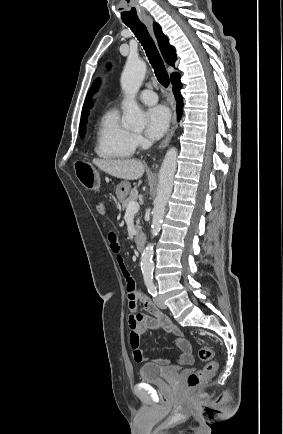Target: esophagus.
I'll list each match as a JSON object with an SVG mask.
<instances>
[{
    "instance_id": "esophagus-1",
    "label": "esophagus",
    "mask_w": 283,
    "mask_h": 434,
    "mask_svg": "<svg viewBox=\"0 0 283 434\" xmlns=\"http://www.w3.org/2000/svg\"><path fill=\"white\" fill-rule=\"evenodd\" d=\"M143 22L146 24V26L148 27V29L152 32L153 31V20L151 17H145L143 19ZM177 127V122L176 120L173 121L172 123V127L169 130L168 134L166 135V137L162 140V142L159 145L160 149H164L170 142L172 136L174 135V132L176 130Z\"/></svg>"
}]
</instances>
